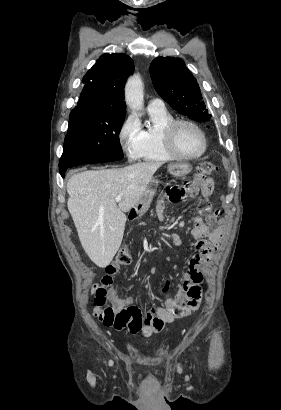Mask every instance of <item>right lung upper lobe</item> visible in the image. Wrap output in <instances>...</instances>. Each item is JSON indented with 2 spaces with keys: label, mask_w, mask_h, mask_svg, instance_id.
<instances>
[{
  "label": "right lung upper lobe",
  "mask_w": 281,
  "mask_h": 410,
  "mask_svg": "<svg viewBox=\"0 0 281 410\" xmlns=\"http://www.w3.org/2000/svg\"><path fill=\"white\" fill-rule=\"evenodd\" d=\"M133 71L134 63L128 55H102L83 77L85 86L76 107L125 113L124 84Z\"/></svg>",
  "instance_id": "right-lung-upper-lobe-1"
}]
</instances>
